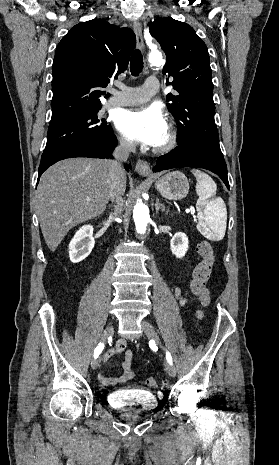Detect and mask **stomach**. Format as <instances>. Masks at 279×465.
I'll list each match as a JSON object with an SVG mask.
<instances>
[{
  "mask_svg": "<svg viewBox=\"0 0 279 465\" xmlns=\"http://www.w3.org/2000/svg\"><path fill=\"white\" fill-rule=\"evenodd\" d=\"M156 189L169 200H181L189 192L187 177L180 171H172L160 177L155 182Z\"/></svg>",
  "mask_w": 279,
  "mask_h": 465,
  "instance_id": "obj_1",
  "label": "stomach"
}]
</instances>
